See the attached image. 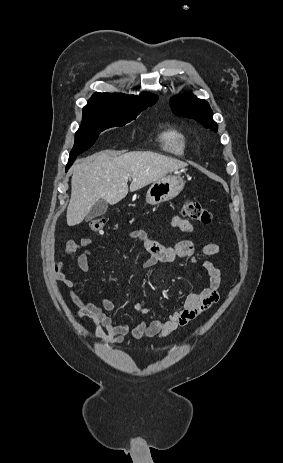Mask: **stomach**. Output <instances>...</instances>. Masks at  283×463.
Wrapping results in <instances>:
<instances>
[{
    "instance_id": "stomach-1",
    "label": "stomach",
    "mask_w": 283,
    "mask_h": 463,
    "mask_svg": "<svg viewBox=\"0 0 283 463\" xmlns=\"http://www.w3.org/2000/svg\"><path fill=\"white\" fill-rule=\"evenodd\" d=\"M184 181L178 176H166L152 183L146 194V202L158 205L175 198L184 188Z\"/></svg>"
}]
</instances>
